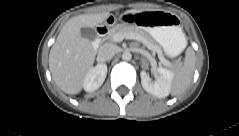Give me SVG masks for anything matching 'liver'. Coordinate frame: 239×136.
I'll return each mask as SVG.
<instances>
[{
    "instance_id": "liver-1",
    "label": "liver",
    "mask_w": 239,
    "mask_h": 136,
    "mask_svg": "<svg viewBox=\"0 0 239 136\" xmlns=\"http://www.w3.org/2000/svg\"><path fill=\"white\" fill-rule=\"evenodd\" d=\"M138 10H129L134 14ZM109 12L79 15L69 19L61 29L49 53V69L55 84L65 93L78 94L92 68L96 51L91 42L81 36V28H93L109 17Z\"/></svg>"
}]
</instances>
